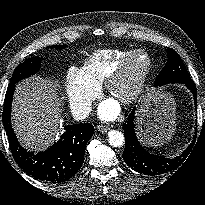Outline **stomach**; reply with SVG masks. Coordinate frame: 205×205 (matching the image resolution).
Returning <instances> with one entry per match:
<instances>
[{"label": "stomach", "mask_w": 205, "mask_h": 205, "mask_svg": "<svg viewBox=\"0 0 205 205\" xmlns=\"http://www.w3.org/2000/svg\"><path fill=\"white\" fill-rule=\"evenodd\" d=\"M174 103V98L163 91H153L142 98L136 126L145 145L158 147L171 139L176 125Z\"/></svg>", "instance_id": "0dacf381"}]
</instances>
